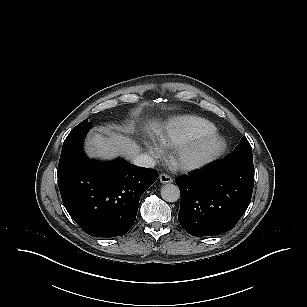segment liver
Instances as JSON below:
<instances>
[{
	"instance_id": "1",
	"label": "liver",
	"mask_w": 307,
	"mask_h": 307,
	"mask_svg": "<svg viewBox=\"0 0 307 307\" xmlns=\"http://www.w3.org/2000/svg\"><path fill=\"white\" fill-rule=\"evenodd\" d=\"M150 127L160 133V126L150 124ZM87 152L91 157L111 159L117 155L133 159L141 151L140 146L127 136L121 135L111 130H105L104 134L94 133L88 137Z\"/></svg>"
}]
</instances>
